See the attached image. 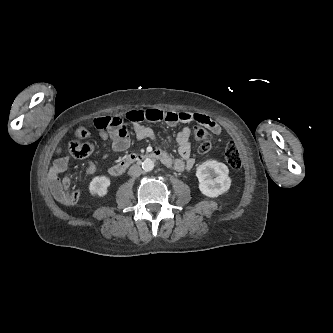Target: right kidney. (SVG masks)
Returning a JSON list of instances; mask_svg holds the SVG:
<instances>
[{
  "label": "right kidney",
  "instance_id": "1",
  "mask_svg": "<svg viewBox=\"0 0 333 333\" xmlns=\"http://www.w3.org/2000/svg\"><path fill=\"white\" fill-rule=\"evenodd\" d=\"M110 186V179L106 176H97L92 179L89 185L91 195L105 196Z\"/></svg>",
  "mask_w": 333,
  "mask_h": 333
}]
</instances>
